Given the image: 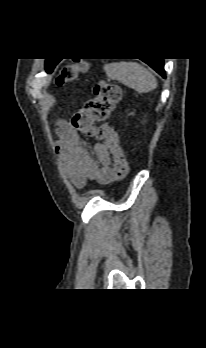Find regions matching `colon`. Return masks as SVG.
<instances>
[{
	"instance_id": "obj_1",
	"label": "colon",
	"mask_w": 206,
	"mask_h": 348,
	"mask_svg": "<svg viewBox=\"0 0 206 348\" xmlns=\"http://www.w3.org/2000/svg\"><path fill=\"white\" fill-rule=\"evenodd\" d=\"M86 60H73L60 70L56 82L59 86L71 82L88 69ZM121 88L106 80L99 81L93 90V96L84 107L71 117V126L78 132L88 134L104 141L114 159V174L118 179H124L129 173V164L120 145L116 130L106 121L115 105L121 99Z\"/></svg>"
}]
</instances>
